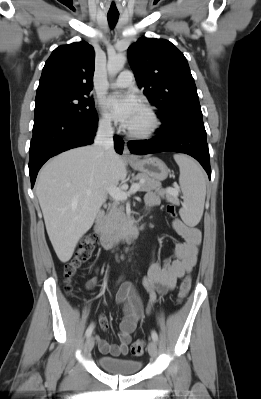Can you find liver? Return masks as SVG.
I'll use <instances>...</instances> for the list:
<instances>
[{
  "instance_id": "1",
  "label": "liver",
  "mask_w": 261,
  "mask_h": 399,
  "mask_svg": "<svg viewBox=\"0 0 261 399\" xmlns=\"http://www.w3.org/2000/svg\"><path fill=\"white\" fill-rule=\"evenodd\" d=\"M126 176L124 160L115 151L109 155L96 145L63 152L41 169L36 195L61 262L71 259L77 243L93 225L109 187H116Z\"/></svg>"
}]
</instances>
